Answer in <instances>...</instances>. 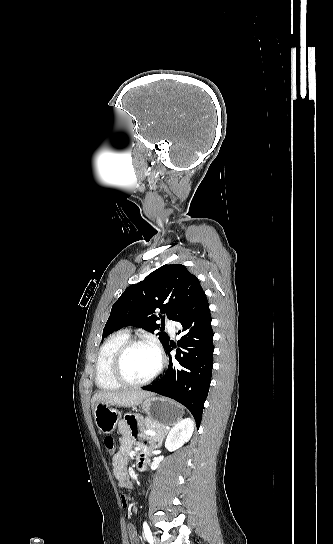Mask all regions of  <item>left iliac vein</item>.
Returning <instances> with one entry per match:
<instances>
[{
	"instance_id": "obj_1",
	"label": "left iliac vein",
	"mask_w": 333,
	"mask_h": 544,
	"mask_svg": "<svg viewBox=\"0 0 333 544\" xmlns=\"http://www.w3.org/2000/svg\"><path fill=\"white\" fill-rule=\"evenodd\" d=\"M153 544H161V543H160L159 539H157V538H154V542H153Z\"/></svg>"
}]
</instances>
